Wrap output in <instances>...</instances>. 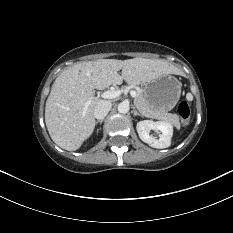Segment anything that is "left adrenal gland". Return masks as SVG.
<instances>
[{"mask_svg":"<svg viewBox=\"0 0 233 233\" xmlns=\"http://www.w3.org/2000/svg\"><path fill=\"white\" fill-rule=\"evenodd\" d=\"M132 112H133V115H134V116H137V115H138V116L143 117L142 114H140L139 112H137V110L135 109V107H133V111H132Z\"/></svg>","mask_w":233,"mask_h":233,"instance_id":"1","label":"left adrenal gland"}]
</instances>
